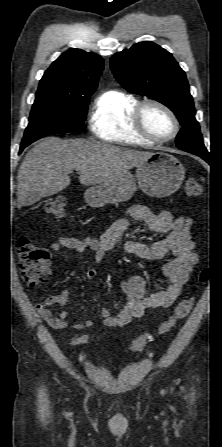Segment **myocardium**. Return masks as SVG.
I'll use <instances>...</instances> for the list:
<instances>
[{
	"label": "myocardium",
	"mask_w": 222,
	"mask_h": 447,
	"mask_svg": "<svg viewBox=\"0 0 222 447\" xmlns=\"http://www.w3.org/2000/svg\"><path fill=\"white\" fill-rule=\"evenodd\" d=\"M148 106H155V107L161 109L162 111H164L170 117L174 128H173V132L168 137H165V138L157 137V136L153 135L152 133H150L147 130V128L145 127L144 121H143V113H144V110L146 109V107H148ZM132 119H133V124H134V127L136 128V130L145 138H147L153 142H156V143H165L167 141H170L179 132V121H178L177 116L173 112V110L171 108H169L163 102L155 100V99H145V100L138 102V104L136 105L135 110L132 114Z\"/></svg>",
	"instance_id": "f54148a6"
}]
</instances>
